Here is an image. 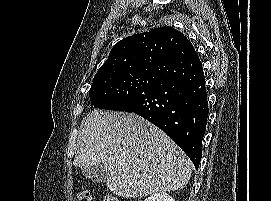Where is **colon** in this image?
I'll return each mask as SVG.
<instances>
[{"label":"colon","instance_id":"5ec220e1","mask_svg":"<svg viewBox=\"0 0 271 201\" xmlns=\"http://www.w3.org/2000/svg\"><path fill=\"white\" fill-rule=\"evenodd\" d=\"M78 201H94V198L89 191L82 190L78 194ZM103 201H120V200L115 196L105 195Z\"/></svg>","mask_w":271,"mask_h":201}]
</instances>
